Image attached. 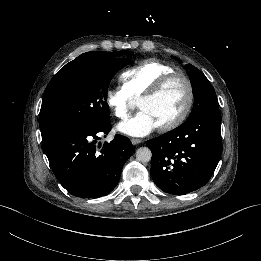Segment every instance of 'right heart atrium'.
<instances>
[{"label": "right heart atrium", "mask_w": 261, "mask_h": 261, "mask_svg": "<svg viewBox=\"0 0 261 261\" xmlns=\"http://www.w3.org/2000/svg\"><path fill=\"white\" fill-rule=\"evenodd\" d=\"M107 106L120 120H127L136 107V102L121 89L108 90L105 96Z\"/></svg>", "instance_id": "obj_1"}]
</instances>
